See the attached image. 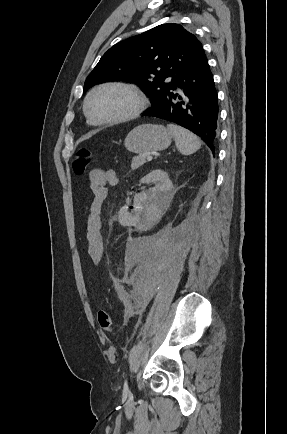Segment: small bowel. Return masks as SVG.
I'll list each match as a JSON object with an SVG mask.
<instances>
[{
	"label": "small bowel",
	"instance_id": "obj_1",
	"mask_svg": "<svg viewBox=\"0 0 287 434\" xmlns=\"http://www.w3.org/2000/svg\"><path fill=\"white\" fill-rule=\"evenodd\" d=\"M88 180L93 199L86 218L85 243L88 255L98 264L104 254L102 208L107 198V188L117 184L118 176L113 169L94 168L89 172Z\"/></svg>",
	"mask_w": 287,
	"mask_h": 434
}]
</instances>
